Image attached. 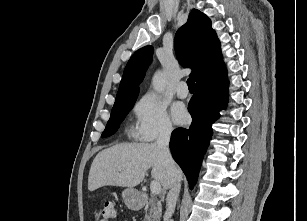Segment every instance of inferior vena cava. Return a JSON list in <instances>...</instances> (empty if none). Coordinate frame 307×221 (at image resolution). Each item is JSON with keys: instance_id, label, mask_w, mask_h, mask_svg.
<instances>
[{"instance_id": "1", "label": "inferior vena cava", "mask_w": 307, "mask_h": 221, "mask_svg": "<svg viewBox=\"0 0 307 221\" xmlns=\"http://www.w3.org/2000/svg\"><path fill=\"white\" fill-rule=\"evenodd\" d=\"M171 132H172L171 126L164 125L160 130L156 145L163 153L168 167L172 170L174 168L175 162L169 150V140ZM179 192H180V182L174 179L166 197V212L164 215V221H169L170 217L174 213L176 200L177 197L179 196Z\"/></svg>"}]
</instances>
